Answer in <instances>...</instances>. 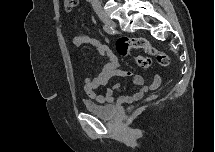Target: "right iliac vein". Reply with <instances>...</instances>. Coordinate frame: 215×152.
I'll use <instances>...</instances> for the list:
<instances>
[{
	"label": "right iliac vein",
	"instance_id": "obj_1",
	"mask_svg": "<svg viewBox=\"0 0 215 152\" xmlns=\"http://www.w3.org/2000/svg\"><path fill=\"white\" fill-rule=\"evenodd\" d=\"M99 18L104 24L108 25L109 27H112V28L116 27V23L112 19H110L107 15L100 14Z\"/></svg>",
	"mask_w": 215,
	"mask_h": 152
}]
</instances>
